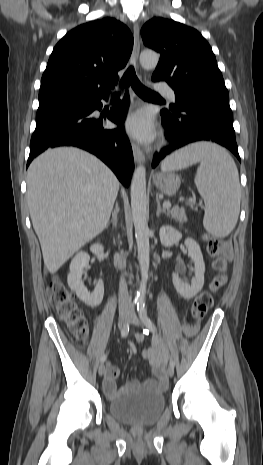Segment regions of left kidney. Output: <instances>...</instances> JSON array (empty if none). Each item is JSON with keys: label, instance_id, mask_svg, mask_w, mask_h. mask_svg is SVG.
<instances>
[{"label": "left kidney", "instance_id": "left-kidney-1", "mask_svg": "<svg viewBox=\"0 0 263 465\" xmlns=\"http://www.w3.org/2000/svg\"><path fill=\"white\" fill-rule=\"evenodd\" d=\"M159 236L161 244L166 247L172 246L182 238V234L179 231L168 225L160 228ZM184 243L188 249V256L194 262L195 276L191 280V285L182 280L176 272L172 274V280L176 291L182 297L191 299L204 285L205 263L200 246L195 240L187 238Z\"/></svg>", "mask_w": 263, "mask_h": 465}]
</instances>
